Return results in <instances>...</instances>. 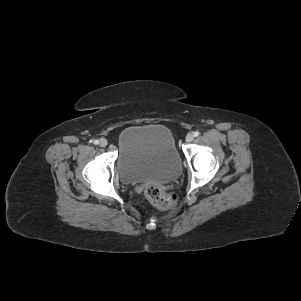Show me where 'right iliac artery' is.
Masks as SVG:
<instances>
[{
	"instance_id": "obj_1",
	"label": "right iliac artery",
	"mask_w": 301,
	"mask_h": 301,
	"mask_svg": "<svg viewBox=\"0 0 301 301\" xmlns=\"http://www.w3.org/2000/svg\"><path fill=\"white\" fill-rule=\"evenodd\" d=\"M93 143H94L95 145H98V144H99V141H98V140H94Z\"/></svg>"
}]
</instances>
